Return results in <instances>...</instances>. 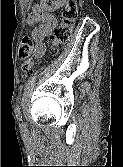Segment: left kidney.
<instances>
[{
  "label": "left kidney",
  "instance_id": "left-kidney-1",
  "mask_svg": "<svg viewBox=\"0 0 123 167\" xmlns=\"http://www.w3.org/2000/svg\"><path fill=\"white\" fill-rule=\"evenodd\" d=\"M44 1H46V0H44ZM64 2H65V0H58L57 4H55L54 9L61 7L64 4Z\"/></svg>",
  "mask_w": 123,
  "mask_h": 167
}]
</instances>
